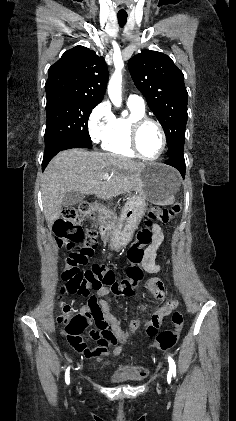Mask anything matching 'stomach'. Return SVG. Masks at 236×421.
<instances>
[{"instance_id": "stomach-1", "label": "stomach", "mask_w": 236, "mask_h": 421, "mask_svg": "<svg viewBox=\"0 0 236 421\" xmlns=\"http://www.w3.org/2000/svg\"><path fill=\"white\" fill-rule=\"evenodd\" d=\"M143 192L131 194L119 217L104 211L100 219L107 227L111 249H122L130 243L138 225L147 211V200L153 204H172L180 186L175 168L161 162H146L141 170Z\"/></svg>"}]
</instances>
